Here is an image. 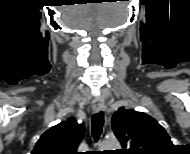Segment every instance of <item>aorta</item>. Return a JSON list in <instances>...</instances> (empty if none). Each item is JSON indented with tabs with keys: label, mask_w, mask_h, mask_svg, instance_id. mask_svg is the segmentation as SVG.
Segmentation results:
<instances>
[{
	"label": "aorta",
	"mask_w": 190,
	"mask_h": 154,
	"mask_svg": "<svg viewBox=\"0 0 190 154\" xmlns=\"http://www.w3.org/2000/svg\"><path fill=\"white\" fill-rule=\"evenodd\" d=\"M120 147V143L117 139H106L102 141L99 148L103 150H116Z\"/></svg>",
	"instance_id": "1"
}]
</instances>
